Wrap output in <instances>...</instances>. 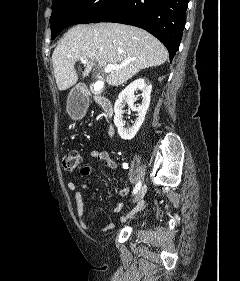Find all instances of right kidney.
<instances>
[{
    "mask_svg": "<svg viewBox=\"0 0 240 281\" xmlns=\"http://www.w3.org/2000/svg\"><path fill=\"white\" fill-rule=\"evenodd\" d=\"M140 90L142 92V103L138 106H134V101L136 99L134 93ZM152 91V85L149 82H146L144 79H137L130 83L118 96V99L114 105V123L118 129L119 136L124 140H131L139 131L141 125L145 120V115L149 108L150 104V94ZM128 104L129 107L137 112V119L132 127L124 128L123 120V108L125 104Z\"/></svg>",
    "mask_w": 240,
    "mask_h": 281,
    "instance_id": "ca27d5eb",
    "label": "right kidney"
}]
</instances>
